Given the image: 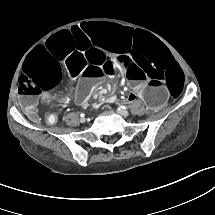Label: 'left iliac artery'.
I'll list each match as a JSON object with an SVG mask.
<instances>
[{
    "label": "left iliac artery",
    "mask_w": 215,
    "mask_h": 215,
    "mask_svg": "<svg viewBox=\"0 0 215 215\" xmlns=\"http://www.w3.org/2000/svg\"><path fill=\"white\" fill-rule=\"evenodd\" d=\"M120 108H122V109H126V107H125V106H121ZM120 108H119V110H120Z\"/></svg>",
    "instance_id": "left-iliac-artery-1"
}]
</instances>
